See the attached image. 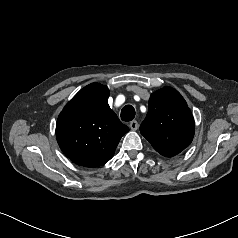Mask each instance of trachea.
Wrapping results in <instances>:
<instances>
[{
    "label": "trachea",
    "instance_id": "3493384b",
    "mask_svg": "<svg viewBox=\"0 0 238 238\" xmlns=\"http://www.w3.org/2000/svg\"><path fill=\"white\" fill-rule=\"evenodd\" d=\"M135 117V109L132 105H126L123 107L121 111V119L123 121H131Z\"/></svg>",
    "mask_w": 238,
    "mask_h": 238
}]
</instances>
